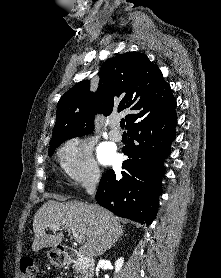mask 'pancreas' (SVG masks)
I'll return each mask as SVG.
<instances>
[{
	"mask_svg": "<svg viewBox=\"0 0 221 278\" xmlns=\"http://www.w3.org/2000/svg\"><path fill=\"white\" fill-rule=\"evenodd\" d=\"M75 273H78L77 267H75ZM76 278H78V277H76Z\"/></svg>",
	"mask_w": 221,
	"mask_h": 278,
	"instance_id": "1",
	"label": "pancreas"
}]
</instances>
